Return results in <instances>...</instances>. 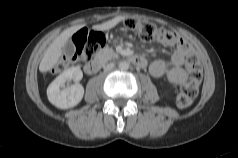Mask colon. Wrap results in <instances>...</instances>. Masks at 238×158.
<instances>
[{"instance_id":"5ec220e1","label":"colon","mask_w":238,"mask_h":158,"mask_svg":"<svg viewBox=\"0 0 238 158\" xmlns=\"http://www.w3.org/2000/svg\"><path fill=\"white\" fill-rule=\"evenodd\" d=\"M124 25L145 42L161 41L171 35V32L167 28L133 18L126 19ZM104 41V36L100 32H89L87 30L78 31L72 38L75 47L74 53L71 56H63L53 71L63 70L72 61L89 60L94 52L103 46ZM186 67L190 79L178 92L177 105L180 108H186L192 104L194 98L198 95L202 80V67L194 54L188 56Z\"/></svg>"}]
</instances>
